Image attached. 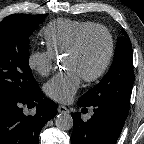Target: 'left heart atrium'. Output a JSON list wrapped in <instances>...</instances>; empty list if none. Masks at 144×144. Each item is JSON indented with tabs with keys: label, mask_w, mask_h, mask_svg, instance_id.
<instances>
[{
	"label": "left heart atrium",
	"mask_w": 144,
	"mask_h": 144,
	"mask_svg": "<svg viewBox=\"0 0 144 144\" xmlns=\"http://www.w3.org/2000/svg\"><path fill=\"white\" fill-rule=\"evenodd\" d=\"M82 77L76 69L69 68L54 76L45 85L46 94L61 103L70 102L78 91Z\"/></svg>",
	"instance_id": "1"
}]
</instances>
